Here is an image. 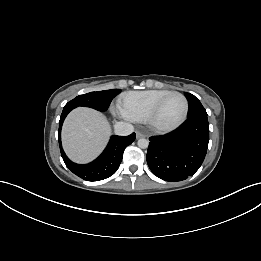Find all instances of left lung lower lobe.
Instances as JSON below:
<instances>
[{
  "instance_id": "1",
  "label": "left lung lower lobe",
  "mask_w": 261,
  "mask_h": 261,
  "mask_svg": "<svg viewBox=\"0 0 261 261\" xmlns=\"http://www.w3.org/2000/svg\"><path fill=\"white\" fill-rule=\"evenodd\" d=\"M147 163L165 181H182L192 176L206 156L209 142L207 116L188 118L177 130L149 138Z\"/></svg>"
}]
</instances>
